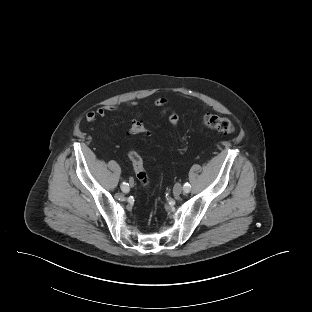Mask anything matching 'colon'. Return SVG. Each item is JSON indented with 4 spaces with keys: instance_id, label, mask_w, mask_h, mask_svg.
Returning a JSON list of instances; mask_svg holds the SVG:
<instances>
[{
    "instance_id": "colon-1",
    "label": "colon",
    "mask_w": 312,
    "mask_h": 312,
    "mask_svg": "<svg viewBox=\"0 0 312 312\" xmlns=\"http://www.w3.org/2000/svg\"><path fill=\"white\" fill-rule=\"evenodd\" d=\"M202 122L206 128L219 133L231 134L234 131L233 123L226 117L205 115L202 119ZM144 133H147V128L141 122H134L129 129V134L131 135H139ZM128 156L132 163L137 179L142 185H148L149 177L144 168V163L141 156L135 151H130Z\"/></svg>"
}]
</instances>
